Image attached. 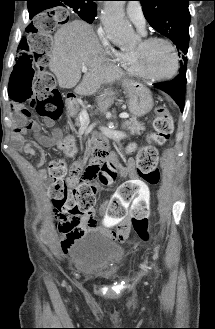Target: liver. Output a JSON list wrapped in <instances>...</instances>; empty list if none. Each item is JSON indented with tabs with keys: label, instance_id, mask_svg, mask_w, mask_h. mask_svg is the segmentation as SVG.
<instances>
[{
	"label": "liver",
	"instance_id": "obj_1",
	"mask_svg": "<svg viewBox=\"0 0 215 329\" xmlns=\"http://www.w3.org/2000/svg\"><path fill=\"white\" fill-rule=\"evenodd\" d=\"M89 71L81 79V68ZM50 70L56 75L61 88L75 87L79 95H92L102 84L122 77L120 70L103 55L93 28L82 20H74L60 27L52 41Z\"/></svg>",
	"mask_w": 215,
	"mask_h": 329
}]
</instances>
